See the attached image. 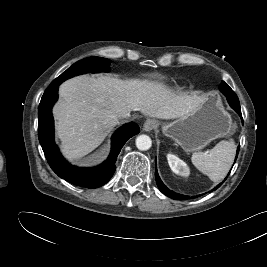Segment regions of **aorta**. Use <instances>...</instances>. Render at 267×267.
<instances>
[{"label":"aorta","instance_id":"obj_1","mask_svg":"<svg viewBox=\"0 0 267 267\" xmlns=\"http://www.w3.org/2000/svg\"><path fill=\"white\" fill-rule=\"evenodd\" d=\"M152 146V140L148 135H140L136 138V147L141 151H146Z\"/></svg>","mask_w":267,"mask_h":267}]
</instances>
